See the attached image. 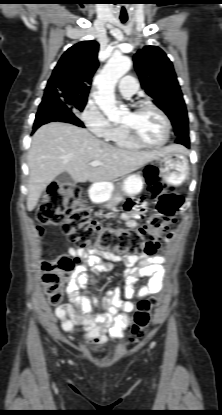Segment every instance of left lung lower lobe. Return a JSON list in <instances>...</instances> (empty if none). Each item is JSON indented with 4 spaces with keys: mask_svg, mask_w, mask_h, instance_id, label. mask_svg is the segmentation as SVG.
<instances>
[{
    "mask_svg": "<svg viewBox=\"0 0 222 415\" xmlns=\"http://www.w3.org/2000/svg\"><path fill=\"white\" fill-rule=\"evenodd\" d=\"M175 142L178 143V144H182V145L186 146L187 148L190 147L189 146V144H190L189 136H185V135L184 136H179V137L176 138Z\"/></svg>",
    "mask_w": 222,
    "mask_h": 415,
    "instance_id": "obj_1",
    "label": "left lung lower lobe"
}]
</instances>
